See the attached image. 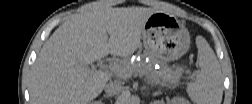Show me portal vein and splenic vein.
<instances>
[{
    "mask_svg": "<svg viewBox=\"0 0 252 104\" xmlns=\"http://www.w3.org/2000/svg\"><path fill=\"white\" fill-rule=\"evenodd\" d=\"M110 67L113 69V71L117 74V76L122 77L124 79H128L132 77L133 72L127 69L122 68L118 64H112Z\"/></svg>",
    "mask_w": 252,
    "mask_h": 104,
    "instance_id": "portal-vein-and-splenic-vein-1",
    "label": "portal vein and splenic vein"
}]
</instances>
